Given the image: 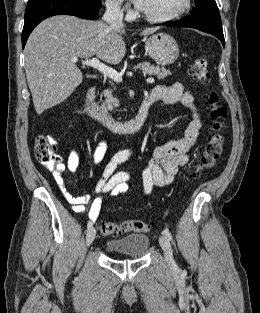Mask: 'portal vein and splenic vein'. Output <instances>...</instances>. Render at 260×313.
I'll return each mask as SVG.
<instances>
[{"label": "portal vein and splenic vein", "mask_w": 260, "mask_h": 313, "mask_svg": "<svg viewBox=\"0 0 260 313\" xmlns=\"http://www.w3.org/2000/svg\"><path fill=\"white\" fill-rule=\"evenodd\" d=\"M72 61L74 63H76V62H78V58L73 57ZM82 64L97 69L98 71H100L104 75L108 76L109 78H111L115 82H122V74L121 73H118L116 70L108 67L104 63L100 62L97 58L86 59V60L82 61ZM146 81H147V83H154L155 82V80L153 78H147Z\"/></svg>", "instance_id": "1"}]
</instances>
